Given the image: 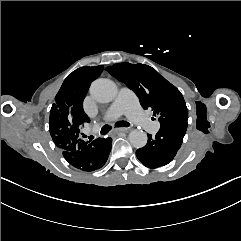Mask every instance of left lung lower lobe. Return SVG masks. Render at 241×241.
I'll use <instances>...</instances> for the list:
<instances>
[{
  "mask_svg": "<svg viewBox=\"0 0 241 241\" xmlns=\"http://www.w3.org/2000/svg\"><path fill=\"white\" fill-rule=\"evenodd\" d=\"M187 124L161 125L155 137L148 135V142L136 151L137 158L149 168H158L167 165L179 150Z\"/></svg>",
  "mask_w": 241,
  "mask_h": 241,
  "instance_id": "0a47b994",
  "label": "left lung lower lobe"
}]
</instances>
